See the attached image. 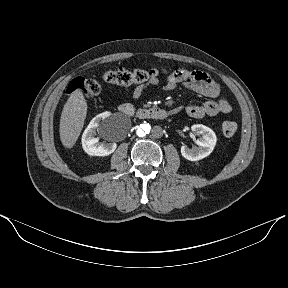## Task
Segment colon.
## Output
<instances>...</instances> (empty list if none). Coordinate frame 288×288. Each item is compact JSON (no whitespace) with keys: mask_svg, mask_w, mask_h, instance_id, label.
<instances>
[{"mask_svg":"<svg viewBox=\"0 0 288 288\" xmlns=\"http://www.w3.org/2000/svg\"><path fill=\"white\" fill-rule=\"evenodd\" d=\"M156 75L154 70L118 68L109 70L103 74V80L108 83L118 85H132L147 82ZM80 92L86 97H94L100 94L101 86L93 79L77 77L73 79L68 88L67 93ZM237 131V124L234 121H224L222 124V132L225 136H233Z\"/></svg>","mask_w":288,"mask_h":288,"instance_id":"5ec220e1","label":"colon"}]
</instances>
